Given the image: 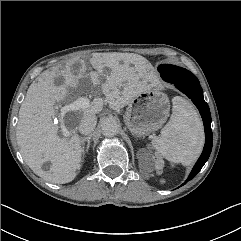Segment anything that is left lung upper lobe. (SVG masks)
<instances>
[{
  "mask_svg": "<svg viewBox=\"0 0 241 241\" xmlns=\"http://www.w3.org/2000/svg\"><path fill=\"white\" fill-rule=\"evenodd\" d=\"M161 77L177 82L194 81L197 78L190 71L170 64H163L158 67Z\"/></svg>",
  "mask_w": 241,
  "mask_h": 241,
  "instance_id": "1",
  "label": "left lung upper lobe"
}]
</instances>
